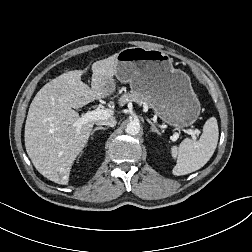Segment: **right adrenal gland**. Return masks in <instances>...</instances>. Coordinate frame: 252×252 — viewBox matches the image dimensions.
<instances>
[{"instance_id": "obj_1", "label": "right adrenal gland", "mask_w": 252, "mask_h": 252, "mask_svg": "<svg viewBox=\"0 0 252 252\" xmlns=\"http://www.w3.org/2000/svg\"><path fill=\"white\" fill-rule=\"evenodd\" d=\"M107 128L105 127H96L92 132H91V135L94 134V132H96L97 130H106Z\"/></svg>"}]
</instances>
